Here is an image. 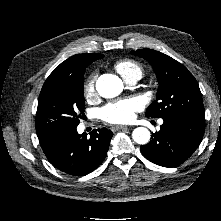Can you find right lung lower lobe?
<instances>
[{"label": "right lung lower lobe", "mask_w": 221, "mask_h": 221, "mask_svg": "<svg viewBox=\"0 0 221 221\" xmlns=\"http://www.w3.org/2000/svg\"><path fill=\"white\" fill-rule=\"evenodd\" d=\"M113 133L106 128L78 134L76 128L58 131L39 138L49 162L59 170L83 176L96 169L105 159Z\"/></svg>", "instance_id": "obj_1"}]
</instances>
